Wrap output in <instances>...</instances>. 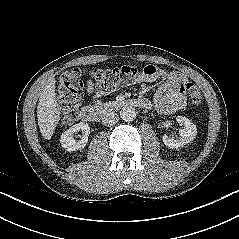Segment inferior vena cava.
I'll return each instance as SVG.
<instances>
[{"instance_id":"obj_1","label":"inferior vena cava","mask_w":239,"mask_h":239,"mask_svg":"<svg viewBox=\"0 0 239 239\" xmlns=\"http://www.w3.org/2000/svg\"><path fill=\"white\" fill-rule=\"evenodd\" d=\"M101 120H102L103 125L113 126L118 122L119 117L114 112H108L102 116Z\"/></svg>"}]
</instances>
